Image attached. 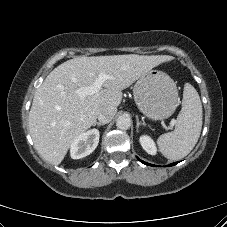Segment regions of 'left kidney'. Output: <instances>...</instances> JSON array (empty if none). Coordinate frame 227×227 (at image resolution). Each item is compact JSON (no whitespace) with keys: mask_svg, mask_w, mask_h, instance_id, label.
I'll return each mask as SVG.
<instances>
[{"mask_svg":"<svg viewBox=\"0 0 227 227\" xmlns=\"http://www.w3.org/2000/svg\"><path fill=\"white\" fill-rule=\"evenodd\" d=\"M140 144L143 147V149L150 155H155L157 152L156 145L149 136L147 135H142L139 138Z\"/></svg>","mask_w":227,"mask_h":227,"instance_id":"left-kidney-1","label":"left kidney"}]
</instances>
